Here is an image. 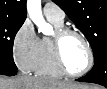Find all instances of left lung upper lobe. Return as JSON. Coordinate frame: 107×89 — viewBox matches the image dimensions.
I'll return each mask as SVG.
<instances>
[{
    "label": "left lung upper lobe",
    "mask_w": 107,
    "mask_h": 89,
    "mask_svg": "<svg viewBox=\"0 0 107 89\" xmlns=\"http://www.w3.org/2000/svg\"><path fill=\"white\" fill-rule=\"evenodd\" d=\"M89 41L94 59L107 52V0H53Z\"/></svg>",
    "instance_id": "left-lung-upper-lobe-1"
}]
</instances>
